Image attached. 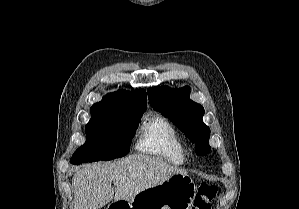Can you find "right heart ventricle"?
I'll use <instances>...</instances> for the list:
<instances>
[{"label": "right heart ventricle", "mask_w": 299, "mask_h": 209, "mask_svg": "<svg viewBox=\"0 0 299 209\" xmlns=\"http://www.w3.org/2000/svg\"><path fill=\"white\" fill-rule=\"evenodd\" d=\"M137 149L157 156L171 164L183 165L188 159V148L174 128L163 116L147 118L139 131Z\"/></svg>", "instance_id": "right-heart-ventricle-1"}]
</instances>
